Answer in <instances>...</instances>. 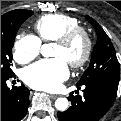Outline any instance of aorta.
Segmentation results:
<instances>
[{"instance_id": "762f6f07", "label": "aorta", "mask_w": 121, "mask_h": 121, "mask_svg": "<svg viewBox=\"0 0 121 121\" xmlns=\"http://www.w3.org/2000/svg\"><path fill=\"white\" fill-rule=\"evenodd\" d=\"M41 54L44 57H50L53 54V44L52 43H48V44H43L41 46ZM69 105V102L66 98H58L55 101V107L57 110L59 111H65L67 110Z\"/></svg>"}]
</instances>
